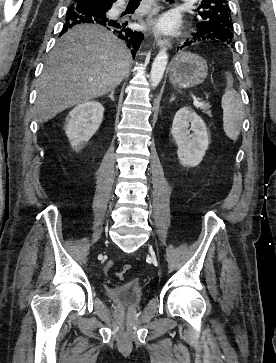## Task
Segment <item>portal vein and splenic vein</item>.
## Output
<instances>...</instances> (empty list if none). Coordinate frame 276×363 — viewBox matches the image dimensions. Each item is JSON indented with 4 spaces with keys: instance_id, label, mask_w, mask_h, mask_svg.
<instances>
[{
    "instance_id": "obj_1",
    "label": "portal vein and splenic vein",
    "mask_w": 276,
    "mask_h": 363,
    "mask_svg": "<svg viewBox=\"0 0 276 363\" xmlns=\"http://www.w3.org/2000/svg\"><path fill=\"white\" fill-rule=\"evenodd\" d=\"M193 104L196 106V107H203L204 106V103L203 102H200L198 101V99H195Z\"/></svg>"
}]
</instances>
